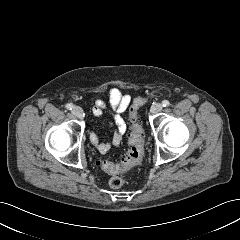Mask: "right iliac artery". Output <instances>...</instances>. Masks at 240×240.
<instances>
[{
    "label": "right iliac artery",
    "instance_id": "82829eb1",
    "mask_svg": "<svg viewBox=\"0 0 240 240\" xmlns=\"http://www.w3.org/2000/svg\"><path fill=\"white\" fill-rule=\"evenodd\" d=\"M65 108L68 109V110H72L73 105L72 104H66Z\"/></svg>",
    "mask_w": 240,
    "mask_h": 240
}]
</instances>
